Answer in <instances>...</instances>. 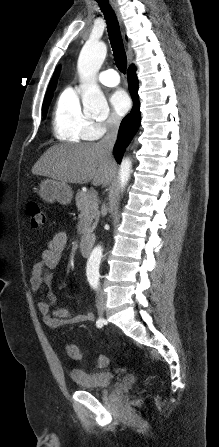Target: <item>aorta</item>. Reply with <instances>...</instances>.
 <instances>
[{
    "instance_id": "1",
    "label": "aorta",
    "mask_w": 219,
    "mask_h": 447,
    "mask_svg": "<svg viewBox=\"0 0 219 447\" xmlns=\"http://www.w3.org/2000/svg\"><path fill=\"white\" fill-rule=\"evenodd\" d=\"M107 47L101 41H87L83 46L78 58V72L82 79H92L101 68L106 57ZM82 104L84 111L92 115H100L108 111V103L101 92L95 85L90 84L84 88L82 95ZM132 169V161L130 158H123L119 168V185L123 190L127 185ZM102 257V248L97 246L90 255V261H99ZM95 274L89 276L90 280H94Z\"/></svg>"
}]
</instances>
